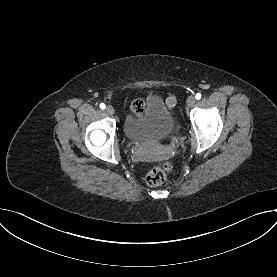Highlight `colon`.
Returning <instances> with one entry per match:
<instances>
[{
    "label": "colon",
    "instance_id": "1",
    "mask_svg": "<svg viewBox=\"0 0 277 277\" xmlns=\"http://www.w3.org/2000/svg\"><path fill=\"white\" fill-rule=\"evenodd\" d=\"M166 104L172 109L176 105V97L174 95L169 96L166 100ZM142 108L143 103L141 101L134 102L133 109L135 112H140ZM170 169L171 165L167 162L153 167L146 175L147 184L150 186H159L163 184Z\"/></svg>",
    "mask_w": 277,
    "mask_h": 277
}]
</instances>
